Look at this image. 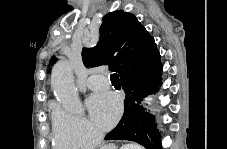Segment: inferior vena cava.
<instances>
[{
    "label": "inferior vena cava",
    "instance_id": "inferior-vena-cava-1",
    "mask_svg": "<svg viewBox=\"0 0 227 149\" xmlns=\"http://www.w3.org/2000/svg\"><path fill=\"white\" fill-rule=\"evenodd\" d=\"M93 137L96 139V143H99L103 139V134L99 132H94Z\"/></svg>",
    "mask_w": 227,
    "mask_h": 149
}]
</instances>
